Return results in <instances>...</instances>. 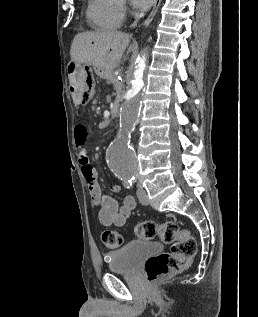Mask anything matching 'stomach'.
I'll return each instance as SVG.
<instances>
[{
	"mask_svg": "<svg viewBox=\"0 0 258 317\" xmlns=\"http://www.w3.org/2000/svg\"><path fill=\"white\" fill-rule=\"evenodd\" d=\"M73 64V68H75V70H85L86 66H90V64H87V62H84V64H77V62H72Z\"/></svg>",
	"mask_w": 258,
	"mask_h": 317,
	"instance_id": "obj_1",
	"label": "stomach"
}]
</instances>
